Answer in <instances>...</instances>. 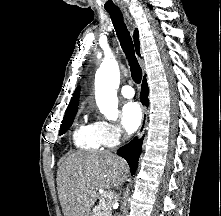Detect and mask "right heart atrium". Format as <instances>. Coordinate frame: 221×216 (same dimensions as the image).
I'll use <instances>...</instances> for the list:
<instances>
[{
	"label": "right heart atrium",
	"mask_w": 221,
	"mask_h": 216,
	"mask_svg": "<svg viewBox=\"0 0 221 216\" xmlns=\"http://www.w3.org/2000/svg\"><path fill=\"white\" fill-rule=\"evenodd\" d=\"M96 132L103 146L113 147L117 145L122 138L120 127L107 120H98L95 122Z\"/></svg>",
	"instance_id": "d8ad5b80"
}]
</instances>
